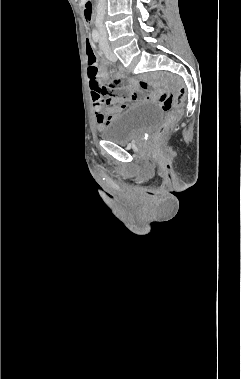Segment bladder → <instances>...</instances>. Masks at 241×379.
Wrapping results in <instances>:
<instances>
[{
	"mask_svg": "<svg viewBox=\"0 0 241 379\" xmlns=\"http://www.w3.org/2000/svg\"><path fill=\"white\" fill-rule=\"evenodd\" d=\"M162 118V111L155 105L135 104L106 124L100 130V136L116 144H127L155 128Z\"/></svg>",
	"mask_w": 241,
	"mask_h": 379,
	"instance_id": "1",
	"label": "bladder"
}]
</instances>
